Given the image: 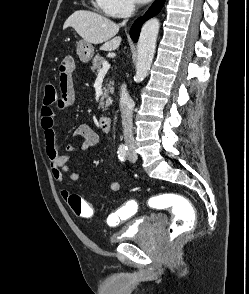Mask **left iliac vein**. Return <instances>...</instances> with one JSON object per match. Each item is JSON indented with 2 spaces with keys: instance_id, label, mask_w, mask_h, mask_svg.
Here are the masks:
<instances>
[{
  "instance_id": "left-iliac-vein-1",
  "label": "left iliac vein",
  "mask_w": 249,
  "mask_h": 294,
  "mask_svg": "<svg viewBox=\"0 0 249 294\" xmlns=\"http://www.w3.org/2000/svg\"><path fill=\"white\" fill-rule=\"evenodd\" d=\"M129 159H130L131 161H135V160H136V156H135L134 158H131V156H130V154H129Z\"/></svg>"
}]
</instances>
